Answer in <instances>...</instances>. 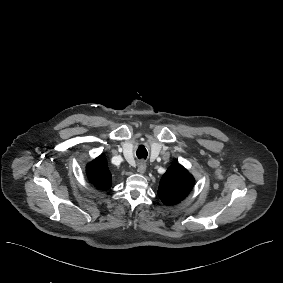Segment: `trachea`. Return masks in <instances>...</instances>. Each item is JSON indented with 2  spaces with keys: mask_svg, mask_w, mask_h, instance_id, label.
<instances>
[{
  "mask_svg": "<svg viewBox=\"0 0 283 283\" xmlns=\"http://www.w3.org/2000/svg\"><path fill=\"white\" fill-rule=\"evenodd\" d=\"M136 154H137V157H138L139 159H142V158H143V159H146V157H147V155H148L147 150H146L144 147L138 148Z\"/></svg>",
  "mask_w": 283,
  "mask_h": 283,
  "instance_id": "trachea-1",
  "label": "trachea"
}]
</instances>
